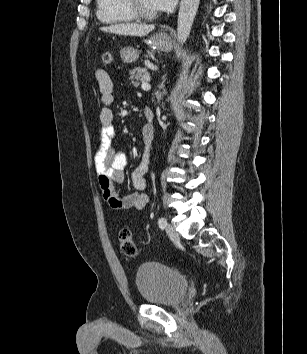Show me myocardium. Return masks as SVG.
Here are the masks:
<instances>
[{
	"mask_svg": "<svg viewBox=\"0 0 307 354\" xmlns=\"http://www.w3.org/2000/svg\"><path fill=\"white\" fill-rule=\"evenodd\" d=\"M126 1H127L128 8L136 18L149 20L157 17L158 15L157 12H148L144 10L140 5L139 0H126Z\"/></svg>",
	"mask_w": 307,
	"mask_h": 354,
	"instance_id": "obj_1",
	"label": "myocardium"
}]
</instances>
